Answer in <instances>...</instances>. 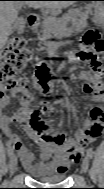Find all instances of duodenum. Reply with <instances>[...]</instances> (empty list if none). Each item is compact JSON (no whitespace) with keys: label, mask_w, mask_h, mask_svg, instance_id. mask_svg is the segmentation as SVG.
<instances>
[{"label":"duodenum","mask_w":104,"mask_h":189,"mask_svg":"<svg viewBox=\"0 0 104 189\" xmlns=\"http://www.w3.org/2000/svg\"><path fill=\"white\" fill-rule=\"evenodd\" d=\"M27 26L31 31H36L39 26V20L34 16H29L27 18Z\"/></svg>","instance_id":"duodenum-1"}]
</instances>
